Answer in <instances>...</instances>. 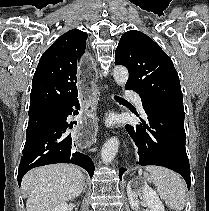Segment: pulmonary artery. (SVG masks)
<instances>
[{"mask_svg":"<svg viewBox=\"0 0 209 211\" xmlns=\"http://www.w3.org/2000/svg\"><path fill=\"white\" fill-rule=\"evenodd\" d=\"M125 96L131 100H133L139 109H143V103L140 96L133 90H127L125 92Z\"/></svg>","mask_w":209,"mask_h":211,"instance_id":"e3ab8cb5","label":"pulmonary artery"}]
</instances>
